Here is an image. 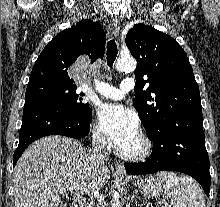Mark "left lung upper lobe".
Listing matches in <instances>:
<instances>
[{"label":"left lung upper lobe","instance_id":"5c2ea615","mask_svg":"<svg viewBox=\"0 0 220 207\" xmlns=\"http://www.w3.org/2000/svg\"><path fill=\"white\" fill-rule=\"evenodd\" d=\"M137 60L134 105L147 135L188 108H201L200 92L187 54L171 36L142 23L126 35ZM147 85L146 91H142Z\"/></svg>","mask_w":220,"mask_h":207}]
</instances>
